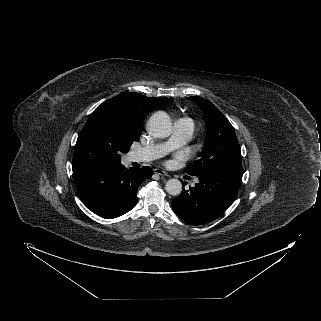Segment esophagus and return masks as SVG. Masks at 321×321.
Masks as SVG:
<instances>
[{
	"label": "esophagus",
	"mask_w": 321,
	"mask_h": 321,
	"mask_svg": "<svg viewBox=\"0 0 321 321\" xmlns=\"http://www.w3.org/2000/svg\"><path fill=\"white\" fill-rule=\"evenodd\" d=\"M154 173L161 176H168V173L166 171L159 168L154 169Z\"/></svg>",
	"instance_id": "1"
}]
</instances>
